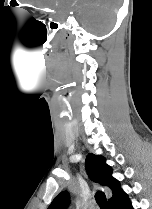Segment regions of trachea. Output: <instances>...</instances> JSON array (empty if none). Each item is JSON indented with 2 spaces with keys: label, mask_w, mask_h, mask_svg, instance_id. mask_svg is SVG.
Returning a JSON list of instances; mask_svg holds the SVG:
<instances>
[{
  "label": "trachea",
  "mask_w": 152,
  "mask_h": 209,
  "mask_svg": "<svg viewBox=\"0 0 152 209\" xmlns=\"http://www.w3.org/2000/svg\"><path fill=\"white\" fill-rule=\"evenodd\" d=\"M95 199H96V202L99 205L100 209H109V206H108V203H107L106 196H105L104 192L98 191L95 194Z\"/></svg>",
  "instance_id": "3493384b"
}]
</instances>
